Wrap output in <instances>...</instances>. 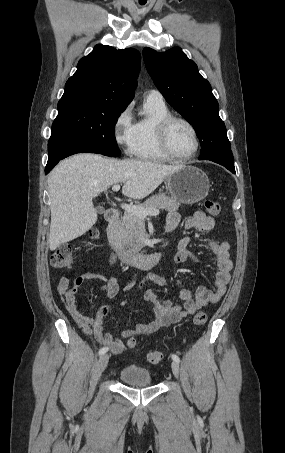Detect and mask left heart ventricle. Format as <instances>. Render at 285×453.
<instances>
[{
    "label": "left heart ventricle",
    "instance_id": "b2bd125f",
    "mask_svg": "<svg viewBox=\"0 0 285 453\" xmlns=\"http://www.w3.org/2000/svg\"><path fill=\"white\" fill-rule=\"evenodd\" d=\"M169 143L172 150L179 155H187L195 148L193 133L185 124L176 122L169 133Z\"/></svg>",
    "mask_w": 285,
    "mask_h": 453
}]
</instances>
